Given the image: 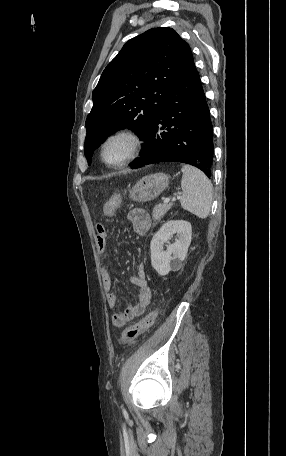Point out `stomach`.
<instances>
[{
  "instance_id": "0dacf381",
  "label": "stomach",
  "mask_w": 286,
  "mask_h": 456,
  "mask_svg": "<svg viewBox=\"0 0 286 456\" xmlns=\"http://www.w3.org/2000/svg\"><path fill=\"white\" fill-rule=\"evenodd\" d=\"M168 184L169 176L165 173L147 175L129 190V198L136 202L154 200L166 189Z\"/></svg>"
}]
</instances>
